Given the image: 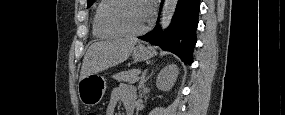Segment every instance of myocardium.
Returning <instances> with one entry per match:
<instances>
[{"instance_id": "1", "label": "myocardium", "mask_w": 285, "mask_h": 115, "mask_svg": "<svg viewBox=\"0 0 285 115\" xmlns=\"http://www.w3.org/2000/svg\"><path fill=\"white\" fill-rule=\"evenodd\" d=\"M129 1H139L142 2L146 5L145 1L142 0H111L102 10V14H101V20L103 22V24L118 32L119 34L123 35V36H128V37H136V36H140L144 33H146L149 30L150 27V22L148 21L146 23V25L138 30V31H129L127 29H125L124 27H122L116 20H114L113 18V13L114 11H116L118 8H120V6L125 3V2H129Z\"/></svg>"}]
</instances>
